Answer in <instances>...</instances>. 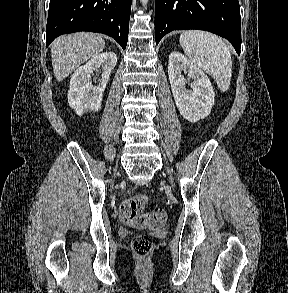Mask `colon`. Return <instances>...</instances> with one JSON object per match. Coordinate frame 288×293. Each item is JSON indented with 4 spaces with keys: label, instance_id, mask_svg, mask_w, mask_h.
Segmentation results:
<instances>
[{
    "label": "colon",
    "instance_id": "1",
    "mask_svg": "<svg viewBox=\"0 0 288 293\" xmlns=\"http://www.w3.org/2000/svg\"><path fill=\"white\" fill-rule=\"evenodd\" d=\"M148 202L145 195H136L126 199L120 206L119 214L123 223L136 229H155L166 221V212L154 209L144 212ZM132 251L139 257L147 256L152 250V241L146 235H137L131 243Z\"/></svg>",
    "mask_w": 288,
    "mask_h": 293
}]
</instances>
